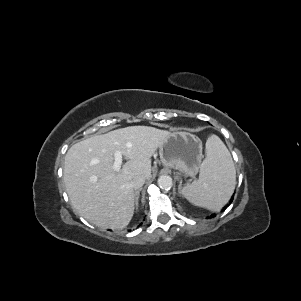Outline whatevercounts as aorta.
I'll return each instance as SVG.
<instances>
[{
    "instance_id": "762f6f07",
    "label": "aorta",
    "mask_w": 301,
    "mask_h": 301,
    "mask_svg": "<svg viewBox=\"0 0 301 301\" xmlns=\"http://www.w3.org/2000/svg\"><path fill=\"white\" fill-rule=\"evenodd\" d=\"M173 180L169 175H162L158 178V186L163 190L172 188Z\"/></svg>"
}]
</instances>
